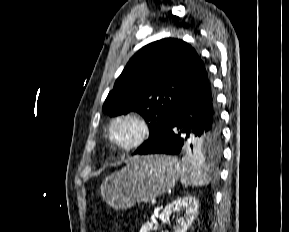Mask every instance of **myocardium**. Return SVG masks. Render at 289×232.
Returning <instances> with one entry per match:
<instances>
[{
	"label": "myocardium",
	"instance_id": "1",
	"mask_svg": "<svg viewBox=\"0 0 289 232\" xmlns=\"http://www.w3.org/2000/svg\"><path fill=\"white\" fill-rule=\"evenodd\" d=\"M122 121H130L134 123L137 127L136 137L129 143L122 144L118 142L113 135L114 127L117 123ZM151 134V124L149 120L142 114L135 111L123 112L116 115L110 122L108 127V137L111 143L119 149L122 150H131L138 148L144 144Z\"/></svg>",
	"mask_w": 289,
	"mask_h": 232
}]
</instances>
